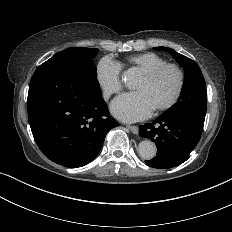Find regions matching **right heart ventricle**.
I'll return each mask as SVG.
<instances>
[{"label":"right heart ventricle","instance_id":"e07e8e85","mask_svg":"<svg viewBox=\"0 0 232 232\" xmlns=\"http://www.w3.org/2000/svg\"><path fill=\"white\" fill-rule=\"evenodd\" d=\"M129 65L140 70L142 75L158 65L167 63V60L155 52H141L129 58Z\"/></svg>","mask_w":232,"mask_h":232}]
</instances>
